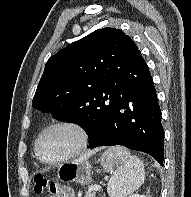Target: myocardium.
<instances>
[{
    "label": "myocardium",
    "instance_id": "myocardium-1",
    "mask_svg": "<svg viewBox=\"0 0 191 197\" xmlns=\"http://www.w3.org/2000/svg\"><path fill=\"white\" fill-rule=\"evenodd\" d=\"M58 127H65V128H70L74 130L78 135L79 143L72 152L68 153L67 155L59 159L52 160V161L44 160L39 153L40 140L47 131L53 128H58ZM88 144H89V133L86 127L82 123L75 121V120H70V119H61V120H56V121L49 123L39 132L34 143V154L40 163L47 165V166H55V165H59L61 163H64L68 160H71L79 156L86 150V148L88 147Z\"/></svg>",
    "mask_w": 191,
    "mask_h": 197
}]
</instances>
